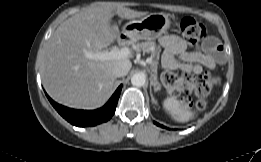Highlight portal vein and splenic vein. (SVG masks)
I'll return each instance as SVG.
<instances>
[{
    "label": "portal vein and splenic vein",
    "mask_w": 261,
    "mask_h": 162,
    "mask_svg": "<svg viewBox=\"0 0 261 162\" xmlns=\"http://www.w3.org/2000/svg\"><path fill=\"white\" fill-rule=\"evenodd\" d=\"M131 54V51L129 48H121L118 49L116 47L112 48L110 51H102L99 53H87L86 56L89 59H95V60H113V59H123L129 57ZM148 64L152 62L151 58H148L146 60Z\"/></svg>",
    "instance_id": "1"
}]
</instances>
